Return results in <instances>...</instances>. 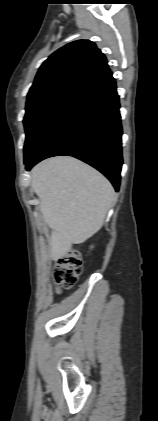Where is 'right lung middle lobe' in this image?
<instances>
[{
    "label": "right lung middle lobe",
    "instance_id": "right-lung-middle-lobe-1",
    "mask_svg": "<svg viewBox=\"0 0 158 421\" xmlns=\"http://www.w3.org/2000/svg\"><path fill=\"white\" fill-rule=\"evenodd\" d=\"M79 87L77 83L62 82L28 93L24 117L25 160L31 155L47 124Z\"/></svg>",
    "mask_w": 158,
    "mask_h": 421
}]
</instances>
